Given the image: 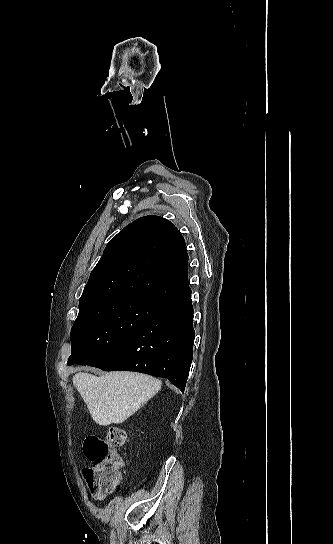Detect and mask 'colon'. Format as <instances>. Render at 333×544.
<instances>
[{"label":"colon","mask_w":333,"mask_h":544,"mask_svg":"<svg viewBox=\"0 0 333 544\" xmlns=\"http://www.w3.org/2000/svg\"><path fill=\"white\" fill-rule=\"evenodd\" d=\"M126 432L116 426L108 428L106 437L90 435L86 438L83 451L91 466L82 470V475L89 488L110 490L121 481L123 458L118 448L126 442Z\"/></svg>","instance_id":"colon-1"}]
</instances>
